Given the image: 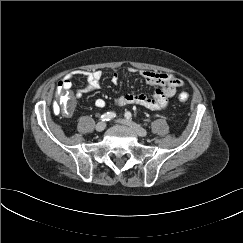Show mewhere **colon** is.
Here are the masks:
<instances>
[{
    "instance_id": "colon-1",
    "label": "colon",
    "mask_w": 243,
    "mask_h": 243,
    "mask_svg": "<svg viewBox=\"0 0 243 243\" xmlns=\"http://www.w3.org/2000/svg\"><path fill=\"white\" fill-rule=\"evenodd\" d=\"M57 94L58 102L55 105V110L57 112H62L65 115H70L75 108V97L67 90H64L59 83L57 87ZM178 98L180 101L185 102L189 99V95L186 92H182L179 94Z\"/></svg>"
}]
</instances>
